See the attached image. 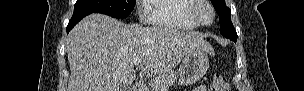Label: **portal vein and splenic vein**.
<instances>
[{
    "label": "portal vein and splenic vein",
    "instance_id": "obj_1",
    "mask_svg": "<svg viewBox=\"0 0 304 91\" xmlns=\"http://www.w3.org/2000/svg\"><path fill=\"white\" fill-rule=\"evenodd\" d=\"M141 62V58H135L132 62L133 66L139 65Z\"/></svg>",
    "mask_w": 304,
    "mask_h": 91
}]
</instances>
